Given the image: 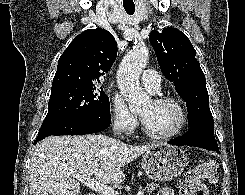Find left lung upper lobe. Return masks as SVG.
<instances>
[{
  "mask_svg": "<svg viewBox=\"0 0 245 195\" xmlns=\"http://www.w3.org/2000/svg\"><path fill=\"white\" fill-rule=\"evenodd\" d=\"M149 40L162 73L186 101L190 127L214 132L205 75L195 59L196 51L188 37L178 29L165 28L161 33L152 31Z\"/></svg>",
  "mask_w": 245,
  "mask_h": 195,
  "instance_id": "obj_1",
  "label": "left lung upper lobe"
}]
</instances>
